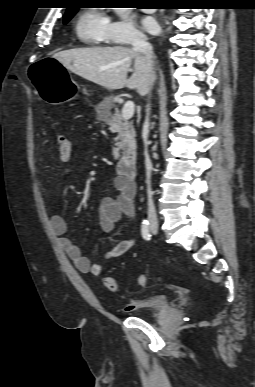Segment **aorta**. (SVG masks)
Here are the masks:
<instances>
[{"mask_svg": "<svg viewBox=\"0 0 255 387\" xmlns=\"http://www.w3.org/2000/svg\"><path fill=\"white\" fill-rule=\"evenodd\" d=\"M114 10L121 18L126 16L127 8H114Z\"/></svg>", "mask_w": 255, "mask_h": 387, "instance_id": "1", "label": "aorta"}]
</instances>
